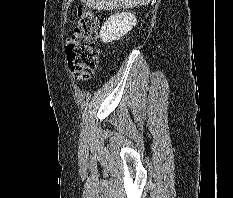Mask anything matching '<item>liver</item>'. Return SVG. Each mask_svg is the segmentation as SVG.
Instances as JSON below:
<instances>
[{"mask_svg":"<svg viewBox=\"0 0 233 198\" xmlns=\"http://www.w3.org/2000/svg\"><path fill=\"white\" fill-rule=\"evenodd\" d=\"M89 8L96 10H114L148 5L151 0H80Z\"/></svg>","mask_w":233,"mask_h":198,"instance_id":"obj_1","label":"liver"}]
</instances>
